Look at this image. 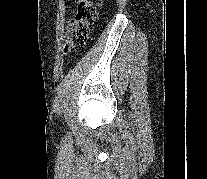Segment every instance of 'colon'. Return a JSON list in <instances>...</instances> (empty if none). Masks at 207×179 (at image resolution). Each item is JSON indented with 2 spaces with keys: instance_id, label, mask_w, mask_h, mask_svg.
Instances as JSON below:
<instances>
[{
  "instance_id": "obj_1",
  "label": "colon",
  "mask_w": 207,
  "mask_h": 179,
  "mask_svg": "<svg viewBox=\"0 0 207 179\" xmlns=\"http://www.w3.org/2000/svg\"><path fill=\"white\" fill-rule=\"evenodd\" d=\"M103 0H78L73 17L67 26V49L82 48L89 37L90 27L95 23Z\"/></svg>"
}]
</instances>
